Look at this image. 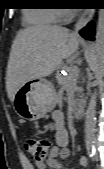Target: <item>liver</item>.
<instances>
[{
	"label": "liver",
	"mask_w": 104,
	"mask_h": 169,
	"mask_svg": "<svg viewBox=\"0 0 104 169\" xmlns=\"http://www.w3.org/2000/svg\"><path fill=\"white\" fill-rule=\"evenodd\" d=\"M78 47V36L61 26L38 25L18 32L6 72L9 99L13 101L16 92L27 81L51 75L63 59L75 54Z\"/></svg>",
	"instance_id": "obj_1"
}]
</instances>
